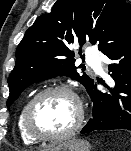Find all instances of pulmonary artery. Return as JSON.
<instances>
[{
	"mask_svg": "<svg viewBox=\"0 0 131 151\" xmlns=\"http://www.w3.org/2000/svg\"><path fill=\"white\" fill-rule=\"evenodd\" d=\"M86 62L90 67L93 68L95 72L97 73L103 72L100 56L95 50L89 49L86 52Z\"/></svg>",
	"mask_w": 131,
	"mask_h": 151,
	"instance_id": "obj_1",
	"label": "pulmonary artery"
}]
</instances>
